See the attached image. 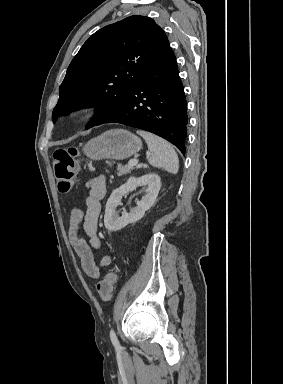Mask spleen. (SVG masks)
Returning <instances> with one entry per match:
<instances>
[{
	"label": "spleen",
	"instance_id": "obj_1",
	"mask_svg": "<svg viewBox=\"0 0 283 384\" xmlns=\"http://www.w3.org/2000/svg\"><path fill=\"white\" fill-rule=\"evenodd\" d=\"M137 134L144 138L149 152H153L148 160L149 164L154 166V168H163V170L170 172V174H177L179 160L171 144H168L162 138H158V136H154V134H149V132H137Z\"/></svg>",
	"mask_w": 283,
	"mask_h": 384
}]
</instances>
